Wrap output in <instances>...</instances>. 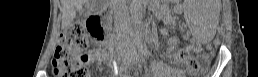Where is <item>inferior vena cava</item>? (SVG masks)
<instances>
[{
	"instance_id": "inferior-vena-cava-1",
	"label": "inferior vena cava",
	"mask_w": 258,
	"mask_h": 77,
	"mask_svg": "<svg viewBox=\"0 0 258 77\" xmlns=\"http://www.w3.org/2000/svg\"><path fill=\"white\" fill-rule=\"evenodd\" d=\"M116 5L114 6L115 19L119 24H122L128 19L129 13L125 4V0H115Z\"/></svg>"
}]
</instances>
